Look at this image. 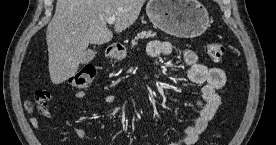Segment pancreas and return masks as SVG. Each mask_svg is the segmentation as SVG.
<instances>
[{
  "label": "pancreas",
  "mask_w": 276,
  "mask_h": 145,
  "mask_svg": "<svg viewBox=\"0 0 276 145\" xmlns=\"http://www.w3.org/2000/svg\"><path fill=\"white\" fill-rule=\"evenodd\" d=\"M156 34L155 33H152V32H146V31H143L142 33H139L135 38L134 40H132L131 42V46L132 48H134L136 45H137V41L139 39H148V38H152L154 37Z\"/></svg>",
  "instance_id": "1"
}]
</instances>
